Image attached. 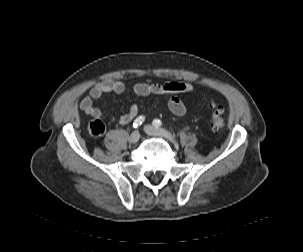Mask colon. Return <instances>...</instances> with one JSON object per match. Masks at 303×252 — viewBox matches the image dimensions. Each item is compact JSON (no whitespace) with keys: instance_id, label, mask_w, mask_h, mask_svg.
<instances>
[{"instance_id":"colon-1","label":"colon","mask_w":303,"mask_h":252,"mask_svg":"<svg viewBox=\"0 0 303 252\" xmlns=\"http://www.w3.org/2000/svg\"><path fill=\"white\" fill-rule=\"evenodd\" d=\"M212 109V128L218 130L224 125V110L221 107L215 106L213 103L210 104ZM105 124L101 120H93L89 124V131L93 136H101L105 133Z\"/></svg>"}]
</instances>
